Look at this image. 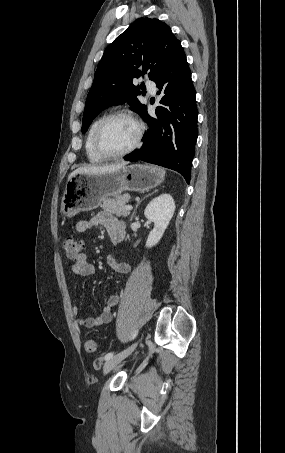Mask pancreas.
Listing matches in <instances>:
<instances>
[{
	"label": "pancreas",
	"instance_id": "pancreas-1",
	"mask_svg": "<svg viewBox=\"0 0 285 453\" xmlns=\"http://www.w3.org/2000/svg\"><path fill=\"white\" fill-rule=\"evenodd\" d=\"M130 197L128 195L117 196L114 199H105L101 204V208L107 212L115 214L118 217H127L130 214V210L125 208Z\"/></svg>",
	"mask_w": 285,
	"mask_h": 453
}]
</instances>
